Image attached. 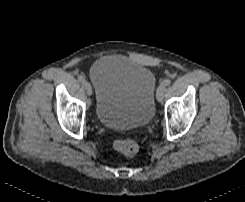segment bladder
<instances>
[{"label":"bladder","mask_w":245,"mask_h":202,"mask_svg":"<svg viewBox=\"0 0 245 202\" xmlns=\"http://www.w3.org/2000/svg\"><path fill=\"white\" fill-rule=\"evenodd\" d=\"M90 80L95 87L94 115L104 127L130 130L152 121L157 81L146 66L133 61L97 62Z\"/></svg>","instance_id":"bladder-1"}]
</instances>
